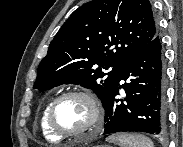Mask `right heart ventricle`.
Masks as SVG:
<instances>
[{
    "label": "right heart ventricle",
    "mask_w": 183,
    "mask_h": 147,
    "mask_svg": "<svg viewBox=\"0 0 183 147\" xmlns=\"http://www.w3.org/2000/svg\"><path fill=\"white\" fill-rule=\"evenodd\" d=\"M52 101L53 99H50L49 101H47V103L43 107L41 118H40V127L46 139L50 141H60L62 140V137H59L55 133H53L47 124V111Z\"/></svg>",
    "instance_id": "obj_1"
}]
</instances>
